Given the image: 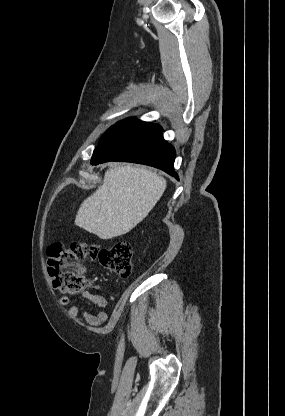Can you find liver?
<instances>
[{
  "label": "liver",
  "instance_id": "obj_1",
  "mask_svg": "<svg viewBox=\"0 0 285 416\" xmlns=\"http://www.w3.org/2000/svg\"><path fill=\"white\" fill-rule=\"evenodd\" d=\"M166 186L162 176L144 168H111L102 186L81 204L75 224L100 240L123 236L148 216Z\"/></svg>",
  "mask_w": 285,
  "mask_h": 416
}]
</instances>
